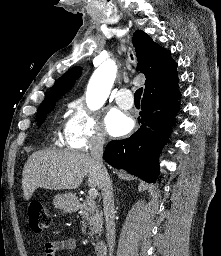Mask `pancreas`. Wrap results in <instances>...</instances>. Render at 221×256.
Here are the masks:
<instances>
[{"instance_id":"obj_1","label":"pancreas","mask_w":221,"mask_h":256,"mask_svg":"<svg viewBox=\"0 0 221 256\" xmlns=\"http://www.w3.org/2000/svg\"><path fill=\"white\" fill-rule=\"evenodd\" d=\"M81 216L83 218L82 232L88 228V235L92 239L101 234L103 225V214L96 206L93 199L87 198L81 207Z\"/></svg>"}]
</instances>
